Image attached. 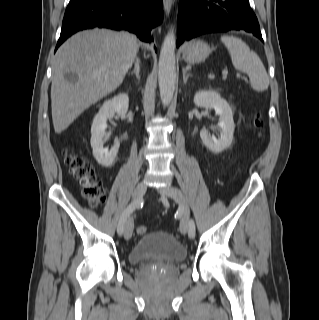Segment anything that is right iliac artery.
I'll return each instance as SVG.
<instances>
[{"label":"right iliac artery","mask_w":319,"mask_h":320,"mask_svg":"<svg viewBox=\"0 0 319 320\" xmlns=\"http://www.w3.org/2000/svg\"><path fill=\"white\" fill-rule=\"evenodd\" d=\"M143 205V201L142 200H138V201H133L131 204H129V206L123 211L118 226H117V232L119 235L123 234L124 231V226H125V222L128 219V217L130 216V214L139 206Z\"/></svg>","instance_id":"1"}]
</instances>
